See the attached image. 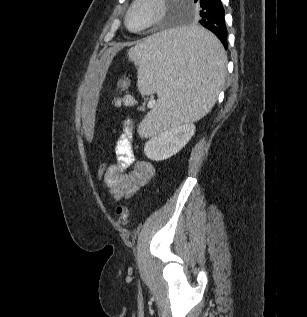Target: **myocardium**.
<instances>
[{
	"mask_svg": "<svg viewBox=\"0 0 307 317\" xmlns=\"http://www.w3.org/2000/svg\"><path fill=\"white\" fill-rule=\"evenodd\" d=\"M148 6L151 9L149 18L139 26L131 24V17L140 6ZM166 0H133L124 15V23L131 32H142L156 25L166 14Z\"/></svg>",
	"mask_w": 307,
	"mask_h": 317,
	"instance_id": "1",
	"label": "myocardium"
}]
</instances>
